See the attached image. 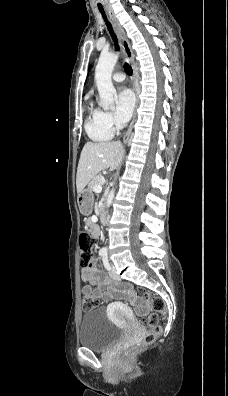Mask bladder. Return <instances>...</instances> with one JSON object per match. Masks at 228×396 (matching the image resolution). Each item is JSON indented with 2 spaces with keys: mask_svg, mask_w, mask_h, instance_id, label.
Here are the masks:
<instances>
[{
  "mask_svg": "<svg viewBox=\"0 0 228 396\" xmlns=\"http://www.w3.org/2000/svg\"><path fill=\"white\" fill-rule=\"evenodd\" d=\"M122 329L113 324L101 308L83 315L79 330L81 346L95 351H105L121 337Z\"/></svg>",
  "mask_w": 228,
  "mask_h": 396,
  "instance_id": "31cf9c89",
  "label": "bladder"
}]
</instances>
